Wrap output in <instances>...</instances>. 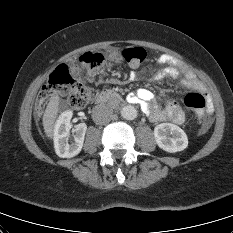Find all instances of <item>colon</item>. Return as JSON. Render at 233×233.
<instances>
[{"mask_svg": "<svg viewBox=\"0 0 233 233\" xmlns=\"http://www.w3.org/2000/svg\"><path fill=\"white\" fill-rule=\"evenodd\" d=\"M119 57L135 67L145 60L146 51L142 47H128L119 52ZM80 60L90 73H96L104 63V56L99 52H86ZM55 95L66 97L75 108H83L93 99L94 92L75 78L66 65H61L51 74L47 84L40 90L36 101L37 110L44 111ZM184 104L194 111L199 119L203 118L206 108V99L203 94L198 92L187 94Z\"/></svg>", "mask_w": 233, "mask_h": 233, "instance_id": "5ec220e1", "label": "colon"}]
</instances>
